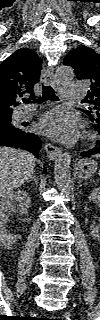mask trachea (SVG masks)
<instances>
[{"label":"trachea","mask_w":100,"mask_h":320,"mask_svg":"<svg viewBox=\"0 0 100 320\" xmlns=\"http://www.w3.org/2000/svg\"><path fill=\"white\" fill-rule=\"evenodd\" d=\"M47 100H52V101H58V97L55 95L54 90L52 89L51 86H44L43 85V92L42 96L38 99L33 101L34 103H42ZM24 103H28L29 100H23Z\"/></svg>","instance_id":"1"}]
</instances>
